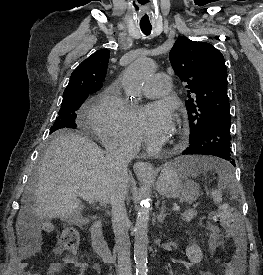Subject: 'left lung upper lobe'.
Here are the masks:
<instances>
[{
  "mask_svg": "<svg viewBox=\"0 0 263 275\" xmlns=\"http://www.w3.org/2000/svg\"><path fill=\"white\" fill-rule=\"evenodd\" d=\"M176 75L187 83L190 138L193 140L215 120L230 117L227 69L222 53L205 42L179 37L170 51Z\"/></svg>",
  "mask_w": 263,
  "mask_h": 275,
  "instance_id": "obj_1",
  "label": "left lung upper lobe"
}]
</instances>
